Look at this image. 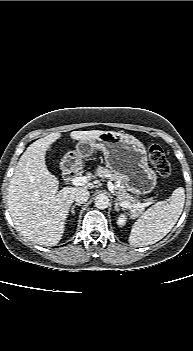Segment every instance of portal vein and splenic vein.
I'll use <instances>...</instances> for the list:
<instances>
[{"label":"portal vein and splenic vein","mask_w":193,"mask_h":351,"mask_svg":"<svg viewBox=\"0 0 193 351\" xmlns=\"http://www.w3.org/2000/svg\"><path fill=\"white\" fill-rule=\"evenodd\" d=\"M87 183V178L85 176L75 177L71 180V184L75 186H83ZM108 189L111 193H114L115 186L112 182H108ZM121 205L125 208H144L149 203H140V204H128L121 202Z\"/></svg>","instance_id":"obj_1"}]
</instances>
